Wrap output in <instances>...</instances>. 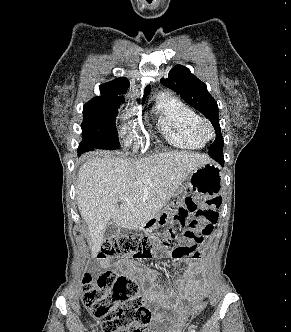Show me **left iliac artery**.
<instances>
[{"label":"left iliac artery","instance_id":"left-iliac-artery-1","mask_svg":"<svg viewBox=\"0 0 291 332\" xmlns=\"http://www.w3.org/2000/svg\"><path fill=\"white\" fill-rule=\"evenodd\" d=\"M191 332H196V331L194 329H192Z\"/></svg>","mask_w":291,"mask_h":332}]
</instances>
